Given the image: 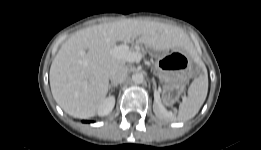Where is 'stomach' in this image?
<instances>
[{
  "mask_svg": "<svg viewBox=\"0 0 261 150\" xmlns=\"http://www.w3.org/2000/svg\"><path fill=\"white\" fill-rule=\"evenodd\" d=\"M155 70L166 88H182L190 76L191 61L181 51L158 54Z\"/></svg>",
  "mask_w": 261,
  "mask_h": 150,
  "instance_id": "stomach-1",
  "label": "stomach"
}]
</instances>
